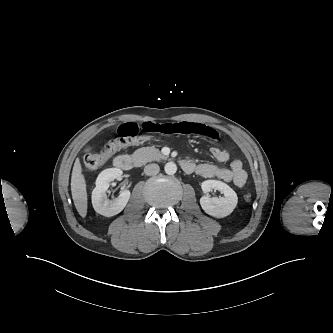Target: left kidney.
<instances>
[{
  "label": "left kidney",
  "mask_w": 333,
  "mask_h": 333,
  "mask_svg": "<svg viewBox=\"0 0 333 333\" xmlns=\"http://www.w3.org/2000/svg\"><path fill=\"white\" fill-rule=\"evenodd\" d=\"M201 188L205 193L215 189L224 195L219 198H210L208 195H204L200 198V205L208 215L215 218H223L230 215L237 206V194L226 183L218 180H206L202 182Z\"/></svg>",
  "instance_id": "obj_1"
}]
</instances>
